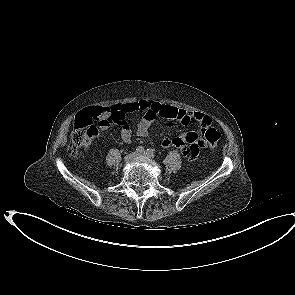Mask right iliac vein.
Returning <instances> with one entry per match:
<instances>
[{
  "instance_id": "1",
  "label": "right iliac vein",
  "mask_w": 295,
  "mask_h": 295,
  "mask_svg": "<svg viewBox=\"0 0 295 295\" xmlns=\"http://www.w3.org/2000/svg\"><path fill=\"white\" fill-rule=\"evenodd\" d=\"M136 153L135 152H133V153H129V154H127L125 157H124V161L126 162V163H128V162H130V161H132L135 157H136Z\"/></svg>"
}]
</instances>
